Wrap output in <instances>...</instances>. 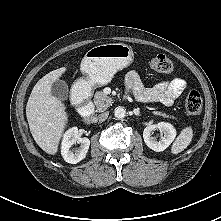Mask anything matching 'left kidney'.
I'll use <instances>...</instances> for the list:
<instances>
[{
  "mask_svg": "<svg viewBox=\"0 0 221 221\" xmlns=\"http://www.w3.org/2000/svg\"><path fill=\"white\" fill-rule=\"evenodd\" d=\"M159 130L162 133L161 139L158 141L156 137L152 136L155 130ZM176 129L170 123L160 122L156 125L147 126L143 131V138L146 145L156 151H164L175 139Z\"/></svg>",
  "mask_w": 221,
  "mask_h": 221,
  "instance_id": "left-kidney-1",
  "label": "left kidney"
}]
</instances>
